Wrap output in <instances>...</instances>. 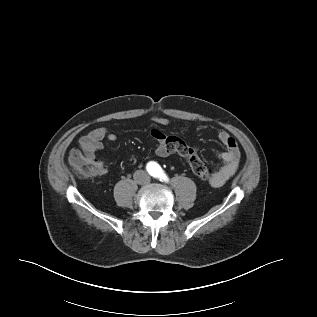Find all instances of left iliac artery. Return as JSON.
Here are the masks:
<instances>
[{"mask_svg": "<svg viewBox=\"0 0 317 317\" xmlns=\"http://www.w3.org/2000/svg\"><path fill=\"white\" fill-rule=\"evenodd\" d=\"M160 181H164V182L168 183L169 182V178L167 177V175L165 173H161Z\"/></svg>", "mask_w": 317, "mask_h": 317, "instance_id": "44dca946", "label": "left iliac artery"}]
</instances>
